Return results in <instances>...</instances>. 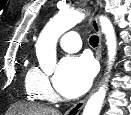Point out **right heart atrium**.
<instances>
[{"label":"right heart atrium","instance_id":"d8ad5b80","mask_svg":"<svg viewBox=\"0 0 131 115\" xmlns=\"http://www.w3.org/2000/svg\"><path fill=\"white\" fill-rule=\"evenodd\" d=\"M34 87L43 98L52 99L54 97L49 78L40 70H37L34 76Z\"/></svg>","mask_w":131,"mask_h":115}]
</instances>
